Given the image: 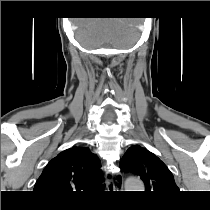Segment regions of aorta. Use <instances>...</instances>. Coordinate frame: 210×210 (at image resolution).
Instances as JSON below:
<instances>
[{
	"label": "aorta",
	"instance_id": "obj_1",
	"mask_svg": "<svg viewBox=\"0 0 210 210\" xmlns=\"http://www.w3.org/2000/svg\"><path fill=\"white\" fill-rule=\"evenodd\" d=\"M125 187L127 191H143L144 184L138 178H129L126 180Z\"/></svg>",
	"mask_w": 210,
	"mask_h": 210
}]
</instances>
